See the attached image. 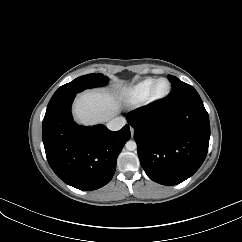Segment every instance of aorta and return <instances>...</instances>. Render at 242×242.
Returning <instances> with one entry per match:
<instances>
[{"label":"aorta","instance_id":"1","mask_svg":"<svg viewBox=\"0 0 242 242\" xmlns=\"http://www.w3.org/2000/svg\"><path fill=\"white\" fill-rule=\"evenodd\" d=\"M125 146H126V149L128 151H134L137 148V144L133 140L127 141V143L125 144Z\"/></svg>","mask_w":242,"mask_h":242}]
</instances>
